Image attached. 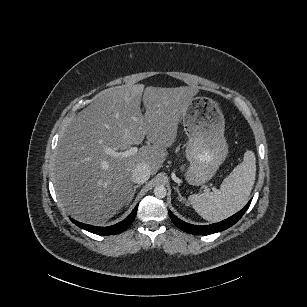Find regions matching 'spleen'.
<instances>
[{
  "label": "spleen",
  "mask_w": 307,
  "mask_h": 307,
  "mask_svg": "<svg viewBox=\"0 0 307 307\" xmlns=\"http://www.w3.org/2000/svg\"><path fill=\"white\" fill-rule=\"evenodd\" d=\"M256 176V157L246 151L243 162L221 183L216 192L193 194L188 200L205 220L218 222L238 212L248 201Z\"/></svg>",
  "instance_id": "3e777b00"
}]
</instances>
